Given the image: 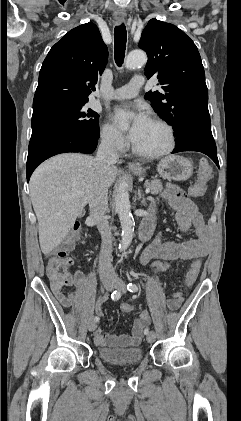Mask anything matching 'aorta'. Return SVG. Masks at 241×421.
Masks as SVG:
<instances>
[{
  "label": "aorta",
  "mask_w": 241,
  "mask_h": 421,
  "mask_svg": "<svg viewBox=\"0 0 241 421\" xmlns=\"http://www.w3.org/2000/svg\"><path fill=\"white\" fill-rule=\"evenodd\" d=\"M147 62V56L142 50L131 51L126 59L125 67L127 69H135L143 66ZM129 194L126 185L120 183L115 197V208L118 213L122 228V241L120 251H125L132 242L134 232V219L130 210Z\"/></svg>",
  "instance_id": "obj_1"
}]
</instances>
